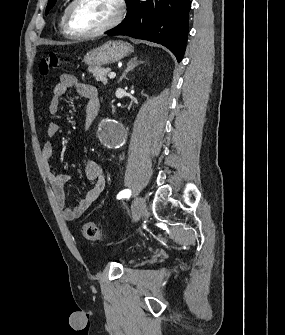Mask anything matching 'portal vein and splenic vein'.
Returning <instances> with one entry per match:
<instances>
[{"mask_svg": "<svg viewBox=\"0 0 285 335\" xmlns=\"http://www.w3.org/2000/svg\"><path fill=\"white\" fill-rule=\"evenodd\" d=\"M115 76V72H110V74H108V78H115Z\"/></svg>", "mask_w": 285, "mask_h": 335, "instance_id": "portal-vein-and-splenic-vein-1", "label": "portal vein and splenic vein"}]
</instances>
